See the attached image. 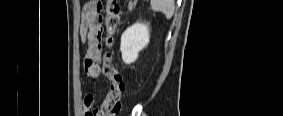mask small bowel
Wrapping results in <instances>:
<instances>
[{"mask_svg":"<svg viewBox=\"0 0 283 116\" xmlns=\"http://www.w3.org/2000/svg\"><path fill=\"white\" fill-rule=\"evenodd\" d=\"M101 9L100 1H90L82 10L80 35L86 45L83 61V70L86 75L95 80L100 76V41L102 36V19L99 14ZM94 96L88 94L83 103L87 116H104L100 109L94 107Z\"/></svg>","mask_w":283,"mask_h":116,"instance_id":"small-bowel-1","label":"small bowel"}]
</instances>
